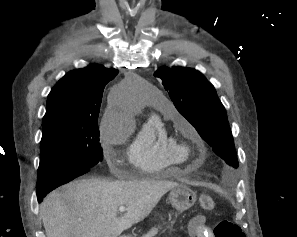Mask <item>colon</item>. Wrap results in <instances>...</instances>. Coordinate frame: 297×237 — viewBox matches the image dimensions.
<instances>
[{
    "label": "colon",
    "instance_id": "obj_1",
    "mask_svg": "<svg viewBox=\"0 0 297 237\" xmlns=\"http://www.w3.org/2000/svg\"><path fill=\"white\" fill-rule=\"evenodd\" d=\"M199 203L203 210L212 211L215 208V201L209 194H201ZM215 237H245L242 229L229 220L219 221L213 229Z\"/></svg>",
    "mask_w": 297,
    "mask_h": 237
}]
</instances>
